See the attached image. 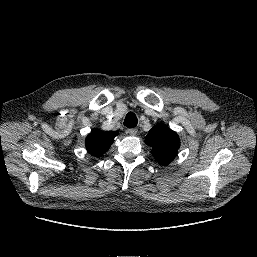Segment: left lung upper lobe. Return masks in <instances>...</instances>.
<instances>
[{
	"mask_svg": "<svg viewBox=\"0 0 257 257\" xmlns=\"http://www.w3.org/2000/svg\"><path fill=\"white\" fill-rule=\"evenodd\" d=\"M145 141L152 147L151 152L156 161L163 166L173 161L180 147V139L177 133L164 124L152 127Z\"/></svg>",
	"mask_w": 257,
	"mask_h": 257,
	"instance_id": "left-lung-upper-lobe-1",
	"label": "left lung upper lobe"
}]
</instances>
